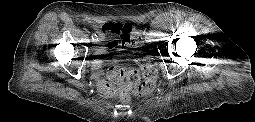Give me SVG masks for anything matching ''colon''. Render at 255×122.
Masks as SVG:
<instances>
[{
	"mask_svg": "<svg viewBox=\"0 0 255 122\" xmlns=\"http://www.w3.org/2000/svg\"><path fill=\"white\" fill-rule=\"evenodd\" d=\"M102 30L117 36L124 35L128 39V45L134 46L138 51L143 45L139 33L133 32L132 26L128 23H106ZM141 62L142 79L139 71L135 68L111 67L107 73L109 82L102 81L99 85L101 94L112 96L119 92L123 101H128L131 93L139 96L150 94L156 86L157 70L144 57L141 58ZM114 84L118 87L115 88Z\"/></svg>",
	"mask_w": 255,
	"mask_h": 122,
	"instance_id": "colon-1",
	"label": "colon"
}]
</instances>
